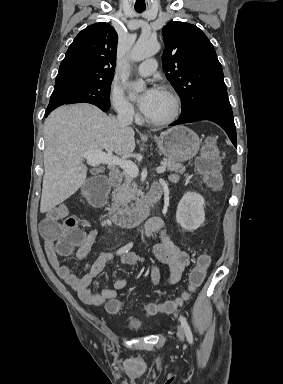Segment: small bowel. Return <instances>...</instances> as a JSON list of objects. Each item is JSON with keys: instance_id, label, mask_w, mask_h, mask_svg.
I'll use <instances>...</instances> for the list:
<instances>
[{"instance_id": "1", "label": "small bowel", "mask_w": 283, "mask_h": 384, "mask_svg": "<svg viewBox=\"0 0 283 384\" xmlns=\"http://www.w3.org/2000/svg\"><path fill=\"white\" fill-rule=\"evenodd\" d=\"M171 180L176 181L177 177L172 176ZM67 216V207L60 204L46 214L43 222L58 221ZM144 233L147 237L159 233L160 243L152 247V257L154 260L167 264L170 267V273L167 279L165 281L161 280L160 271L153 261L147 260L135 253L126 252L123 254L121 257L122 262L127 265L146 263L149 267L150 281L153 284L164 283L171 285L178 282L185 268L189 265V255L172 241L167 232L166 224L160 217H152L147 220L144 226ZM97 234V230H91L88 233L85 243L77 252V256L80 259H84L87 256ZM45 251L49 263L57 274L78 293L80 299L86 304L99 306L110 300H115L118 293L128 284L126 279L121 278L116 280L111 288L103 289L99 293H94L89 289L90 284L100 275L107 263L112 260L113 256L111 253H101L94 261L90 272L80 277L72 269L60 262L54 240L45 237Z\"/></svg>"}]
</instances>
